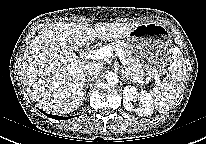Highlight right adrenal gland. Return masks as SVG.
<instances>
[{
  "label": "right adrenal gland",
  "instance_id": "obj_1",
  "mask_svg": "<svg viewBox=\"0 0 206 144\" xmlns=\"http://www.w3.org/2000/svg\"><path fill=\"white\" fill-rule=\"evenodd\" d=\"M86 82H91V80L90 79H88V80H86ZM87 86H86V84H85V94H86V90H87Z\"/></svg>",
  "mask_w": 206,
  "mask_h": 144
}]
</instances>
